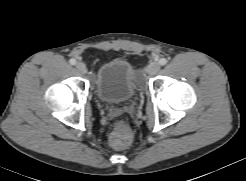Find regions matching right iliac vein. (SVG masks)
I'll return each mask as SVG.
<instances>
[{"label": "right iliac vein", "mask_w": 246, "mask_h": 181, "mask_svg": "<svg viewBox=\"0 0 246 181\" xmlns=\"http://www.w3.org/2000/svg\"><path fill=\"white\" fill-rule=\"evenodd\" d=\"M76 69L78 70V72L85 74L87 72V68L86 65L82 62H78L76 64Z\"/></svg>", "instance_id": "right-iliac-vein-1"}]
</instances>
